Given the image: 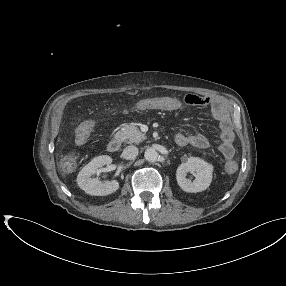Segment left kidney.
I'll return each mask as SVG.
<instances>
[{
	"instance_id": "5707ae66",
	"label": "left kidney",
	"mask_w": 286,
	"mask_h": 286,
	"mask_svg": "<svg viewBox=\"0 0 286 286\" xmlns=\"http://www.w3.org/2000/svg\"><path fill=\"white\" fill-rule=\"evenodd\" d=\"M194 173L195 180L186 178L187 173ZM213 166L201 158L190 157L179 165L176 171V179L182 190L191 193L201 192L207 189L212 181Z\"/></svg>"
}]
</instances>
